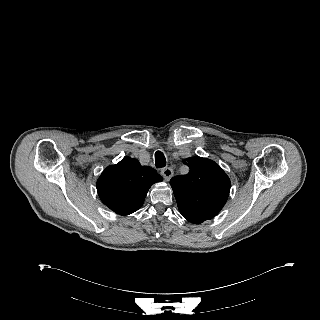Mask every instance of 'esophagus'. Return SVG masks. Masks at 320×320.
I'll return each instance as SVG.
<instances>
[{"label":"esophagus","mask_w":320,"mask_h":320,"mask_svg":"<svg viewBox=\"0 0 320 320\" xmlns=\"http://www.w3.org/2000/svg\"><path fill=\"white\" fill-rule=\"evenodd\" d=\"M161 174L167 181H169L173 176V169L170 167L163 168L161 170Z\"/></svg>","instance_id":"obj_1"}]
</instances>
